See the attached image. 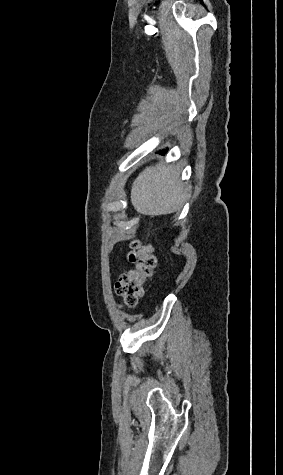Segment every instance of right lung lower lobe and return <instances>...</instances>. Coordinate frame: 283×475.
Listing matches in <instances>:
<instances>
[{
    "label": "right lung lower lobe",
    "instance_id": "obj_1",
    "mask_svg": "<svg viewBox=\"0 0 283 475\" xmlns=\"http://www.w3.org/2000/svg\"><path fill=\"white\" fill-rule=\"evenodd\" d=\"M165 152H166V151H165V150H163L161 153H165Z\"/></svg>",
    "mask_w": 283,
    "mask_h": 475
}]
</instances>
